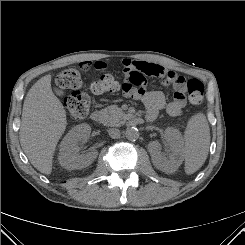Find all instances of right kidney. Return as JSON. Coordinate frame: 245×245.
Wrapping results in <instances>:
<instances>
[{
    "instance_id": "ca27d5eb",
    "label": "right kidney",
    "mask_w": 245,
    "mask_h": 245,
    "mask_svg": "<svg viewBox=\"0 0 245 245\" xmlns=\"http://www.w3.org/2000/svg\"><path fill=\"white\" fill-rule=\"evenodd\" d=\"M91 133L88 124H80L73 127L60 144L59 163L68 170L88 167L97 158L98 152L92 150L87 153H79V144L85 141Z\"/></svg>"
}]
</instances>
